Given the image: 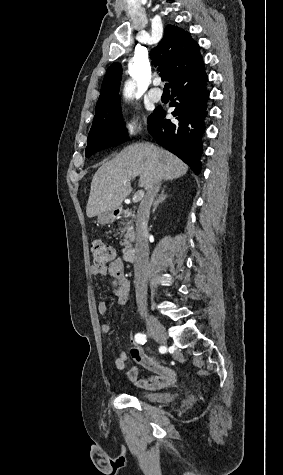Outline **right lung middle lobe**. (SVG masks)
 Listing matches in <instances>:
<instances>
[{
  "label": "right lung middle lobe",
  "mask_w": 283,
  "mask_h": 475,
  "mask_svg": "<svg viewBox=\"0 0 283 475\" xmlns=\"http://www.w3.org/2000/svg\"><path fill=\"white\" fill-rule=\"evenodd\" d=\"M120 105L97 107L90 129L86 157L127 140Z\"/></svg>",
  "instance_id": "obj_1"
}]
</instances>
